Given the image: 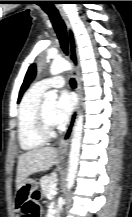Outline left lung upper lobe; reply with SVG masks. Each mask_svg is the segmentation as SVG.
Returning a JSON list of instances; mask_svg holds the SVG:
<instances>
[{"instance_id": "5c2ea615", "label": "left lung upper lobe", "mask_w": 132, "mask_h": 217, "mask_svg": "<svg viewBox=\"0 0 132 217\" xmlns=\"http://www.w3.org/2000/svg\"><path fill=\"white\" fill-rule=\"evenodd\" d=\"M36 74V68H35V64H32L25 76L24 82L21 86L20 92H19V97H18V102L20 101L24 91L27 89V87L29 86V84L31 83V81L34 79V76Z\"/></svg>"}]
</instances>
